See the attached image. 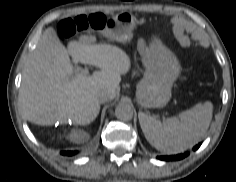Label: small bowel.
<instances>
[{
    "label": "small bowel",
    "instance_id": "obj_1",
    "mask_svg": "<svg viewBox=\"0 0 236 182\" xmlns=\"http://www.w3.org/2000/svg\"><path fill=\"white\" fill-rule=\"evenodd\" d=\"M173 24H174V32L178 41L182 45H187L188 39L184 35V29H185L184 22L180 18L175 17L173 18Z\"/></svg>",
    "mask_w": 236,
    "mask_h": 182
}]
</instances>
